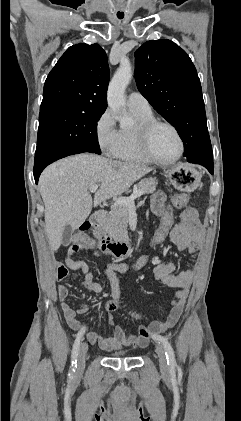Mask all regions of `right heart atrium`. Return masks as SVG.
I'll list each match as a JSON object with an SVG mask.
<instances>
[{"mask_svg": "<svg viewBox=\"0 0 241 421\" xmlns=\"http://www.w3.org/2000/svg\"><path fill=\"white\" fill-rule=\"evenodd\" d=\"M97 143L106 156H113L118 144L119 131L110 110H105L95 124Z\"/></svg>", "mask_w": 241, "mask_h": 421, "instance_id": "obj_1", "label": "right heart atrium"}]
</instances>
